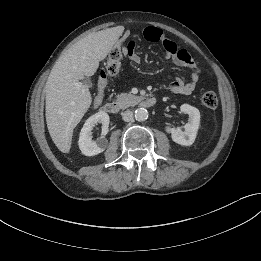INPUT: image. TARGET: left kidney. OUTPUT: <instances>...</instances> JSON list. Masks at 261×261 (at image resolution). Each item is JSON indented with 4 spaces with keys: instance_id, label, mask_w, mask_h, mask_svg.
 <instances>
[{
    "instance_id": "5707ae66",
    "label": "left kidney",
    "mask_w": 261,
    "mask_h": 261,
    "mask_svg": "<svg viewBox=\"0 0 261 261\" xmlns=\"http://www.w3.org/2000/svg\"><path fill=\"white\" fill-rule=\"evenodd\" d=\"M181 112L189 115L188 123L185 124V131L179 128L165 127L166 132L171 134L172 140L183 146H190L194 143L197 131L200 124V112L197 108L189 105L183 104L180 107Z\"/></svg>"
}]
</instances>
